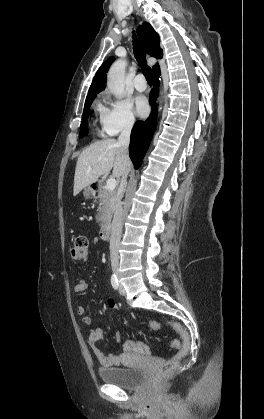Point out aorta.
I'll list each match as a JSON object with an SVG mask.
<instances>
[{
    "mask_svg": "<svg viewBox=\"0 0 264 419\" xmlns=\"http://www.w3.org/2000/svg\"><path fill=\"white\" fill-rule=\"evenodd\" d=\"M125 68V61L119 59L112 64L107 75V86L109 90L118 98H122L124 94Z\"/></svg>",
    "mask_w": 264,
    "mask_h": 419,
    "instance_id": "obj_1",
    "label": "aorta"
}]
</instances>
